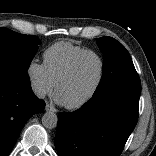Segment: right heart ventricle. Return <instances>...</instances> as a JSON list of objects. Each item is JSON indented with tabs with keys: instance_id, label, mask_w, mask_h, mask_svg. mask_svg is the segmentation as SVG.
<instances>
[{
	"instance_id": "right-heart-ventricle-1",
	"label": "right heart ventricle",
	"mask_w": 156,
	"mask_h": 156,
	"mask_svg": "<svg viewBox=\"0 0 156 156\" xmlns=\"http://www.w3.org/2000/svg\"><path fill=\"white\" fill-rule=\"evenodd\" d=\"M85 50L88 49L67 41L56 42L48 47L43 54V58L52 81L56 83L73 58Z\"/></svg>"
}]
</instances>
